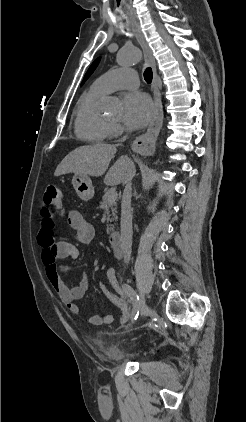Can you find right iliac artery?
<instances>
[{"label":"right iliac artery","mask_w":246,"mask_h":422,"mask_svg":"<svg viewBox=\"0 0 246 422\" xmlns=\"http://www.w3.org/2000/svg\"><path fill=\"white\" fill-rule=\"evenodd\" d=\"M122 290L131 299L132 306H133L132 313H131V319H132V321H135L138 318V315H139V305H138L139 297L128 284H123Z\"/></svg>","instance_id":"1"}]
</instances>
